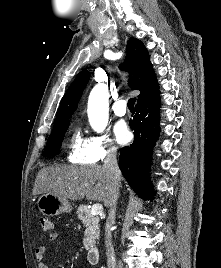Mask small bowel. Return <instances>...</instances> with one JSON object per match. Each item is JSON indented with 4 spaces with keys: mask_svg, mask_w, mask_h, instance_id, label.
Wrapping results in <instances>:
<instances>
[{
    "mask_svg": "<svg viewBox=\"0 0 221 268\" xmlns=\"http://www.w3.org/2000/svg\"><path fill=\"white\" fill-rule=\"evenodd\" d=\"M48 239L50 241H57L59 239V234L57 232H50L48 235ZM46 252L47 247L44 245H41L35 249V257L38 261V268H49L48 264L44 260Z\"/></svg>",
    "mask_w": 221,
    "mask_h": 268,
    "instance_id": "obj_1",
    "label": "small bowel"
}]
</instances>
